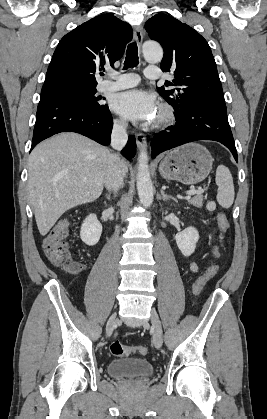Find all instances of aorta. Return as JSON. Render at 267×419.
<instances>
[{"label": "aorta", "instance_id": "aorta-1", "mask_svg": "<svg viewBox=\"0 0 267 419\" xmlns=\"http://www.w3.org/2000/svg\"><path fill=\"white\" fill-rule=\"evenodd\" d=\"M143 55L147 61L157 63L162 60L163 50L158 43L145 42ZM137 190L141 204L144 207H150L153 202V185L148 166V154L145 149L138 156Z\"/></svg>", "mask_w": 267, "mask_h": 419}]
</instances>
